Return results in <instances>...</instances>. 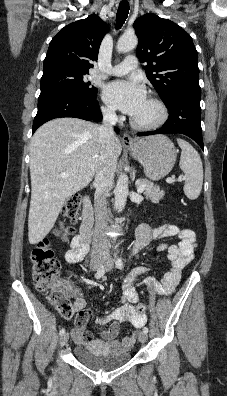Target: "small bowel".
<instances>
[{
	"label": "small bowel",
	"instance_id": "obj_1",
	"mask_svg": "<svg viewBox=\"0 0 227 396\" xmlns=\"http://www.w3.org/2000/svg\"><path fill=\"white\" fill-rule=\"evenodd\" d=\"M177 237V244L168 245L162 243L158 250L167 251L168 259L171 263L170 270L163 276L160 281L155 283V289L159 294H170L178 285L182 271L193 258L196 248L195 233L190 229H180L178 226L170 223H164L156 229L150 228L147 224L142 223L136 231V239L133 250L142 251L153 241ZM88 252V246L83 243L80 236H76L71 242V248L65 253V260L70 264L81 262ZM148 270L146 266L137 267L132 271L122 284V305L114 309L110 314L97 319L99 324H109L108 328L99 334L95 339L86 329V324L92 319L93 312L91 309H85L86 301L83 293L69 283H63L66 292L74 298L73 311L77 312L75 319L76 327L73 330L74 338L78 343H98L106 346L112 351H121L133 346L136 335L133 333L122 339L118 338L120 323L128 322L134 328L139 329L146 323L145 313H139L135 304L139 301L138 292L135 289V282L138 276Z\"/></svg>",
	"mask_w": 227,
	"mask_h": 396
}]
</instances>
